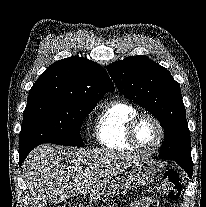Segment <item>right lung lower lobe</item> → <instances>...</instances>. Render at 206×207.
Returning a JSON list of instances; mask_svg holds the SVG:
<instances>
[{"label": "right lung lower lobe", "instance_id": "obj_1", "mask_svg": "<svg viewBox=\"0 0 206 207\" xmlns=\"http://www.w3.org/2000/svg\"><path fill=\"white\" fill-rule=\"evenodd\" d=\"M30 151H31V150H30ZM30 151L19 152V156H20V158H19V165H20V166L22 165L24 159L26 158V156L28 155V153H29Z\"/></svg>", "mask_w": 206, "mask_h": 207}]
</instances>
